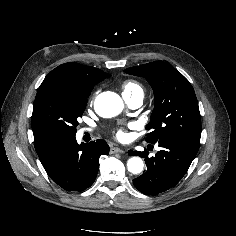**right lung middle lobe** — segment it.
Returning <instances> with one entry per match:
<instances>
[{
    "mask_svg": "<svg viewBox=\"0 0 236 236\" xmlns=\"http://www.w3.org/2000/svg\"><path fill=\"white\" fill-rule=\"evenodd\" d=\"M89 95L61 83H42L33 104L34 138L74 136Z\"/></svg>",
    "mask_w": 236,
    "mask_h": 236,
    "instance_id": "obj_1",
    "label": "right lung middle lobe"
}]
</instances>
